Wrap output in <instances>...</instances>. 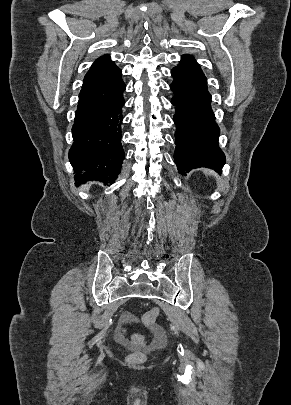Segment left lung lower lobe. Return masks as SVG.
I'll use <instances>...</instances> for the list:
<instances>
[{
  "label": "left lung lower lobe",
  "instance_id": "0a47b994",
  "mask_svg": "<svg viewBox=\"0 0 291 405\" xmlns=\"http://www.w3.org/2000/svg\"><path fill=\"white\" fill-rule=\"evenodd\" d=\"M171 75L174 79L170 85L174 92L171 103L176 107L173 120L177 126L174 159L179 173L186 175L199 167L220 172L225 155L217 143L219 127L214 121L206 77L189 55L182 56Z\"/></svg>",
  "mask_w": 291,
  "mask_h": 405
}]
</instances>
